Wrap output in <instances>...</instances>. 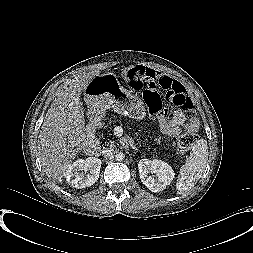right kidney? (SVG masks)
<instances>
[{
  "label": "right kidney",
  "mask_w": 253,
  "mask_h": 253,
  "mask_svg": "<svg viewBox=\"0 0 253 253\" xmlns=\"http://www.w3.org/2000/svg\"><path fill=\"white\" fill-rule=\"evenodd\" d=\"M101 164V160L96 157L76 160L65 172L66 181L78 189L90 187L99 178Z\"/></svg>",
  "instance_id": "right-kidney-1"
}]
</instances>
